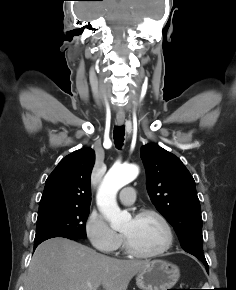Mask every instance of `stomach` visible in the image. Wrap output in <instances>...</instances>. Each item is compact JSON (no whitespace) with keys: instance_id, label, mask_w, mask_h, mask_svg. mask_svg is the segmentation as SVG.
Here are the masks:
<instances>
[{"instance_id":"stomach-1","label":"stomach","mask_w":236,"mask_h":290,"mask_svg":"<svg viewBox=\"0 0 236 290\" xmlns=\"http://www.w3.org/2000/svg\"><path fill=\"white\" fill-rule=\"evenodd\" d=\"M179 268L163 260L151 261L136 276V284L141 290H167L177 283Z\"/></svg>"}]
</instances>
